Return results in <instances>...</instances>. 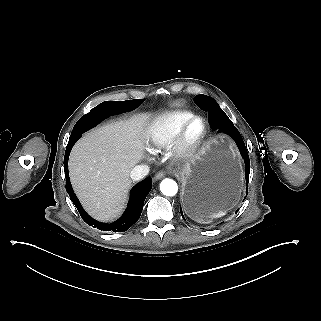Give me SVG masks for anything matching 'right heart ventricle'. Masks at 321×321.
I'll return each mask as SVG.
<instances>
[{"mask_svg":"<svg viewBox=\"0 0 321 321\" xmlns=\"http://www.w3.org/2000/svg\"><path fill=\"white\" fill-rule=\"evenodd\" d=\"M193 115L187 109H170L155 116L144 129V145L152 151L165 149L178 127Z\"/></svg>","mask_w":321,"mask_h":321,"instance_id":"obj_1","label":"right heart ventricle"}]
</instances>
